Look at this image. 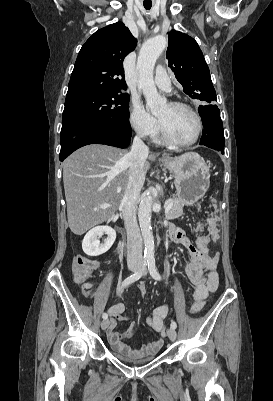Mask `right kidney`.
Wrapping results in <instances>:
<instances>
[{
  "label": "right kidney",
  "instance_id": "obj_1",
  "mask_svg": "<svg viewBox=\"0 0 273 401\" xmlns=\"http://www.w3.org/2000/svg\"><path fill=\"white\" fill-rule=\"evenodd\" d=\"M107 235L104 243H100V237ZM116 239V233L111 227H94L86 233L82 241V249L89 257H98L109 251Z\"/></svg>",
  "mask_w": 273,
  "mask_h": 401
}]
</instances>
